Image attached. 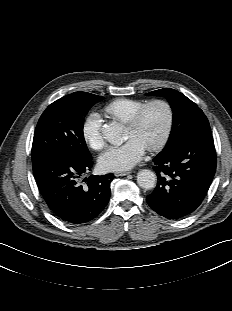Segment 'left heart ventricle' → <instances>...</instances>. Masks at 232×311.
Instances as JSON below:
<instances>
[{
	"label": "left heart ventricle",
	"mask_w": 232,
	"mask_h": 311,
	"mask_svg": "<svg viewBox=\"0 0 232 311\" xmlns=\"http://www.w3.org/2000/svg\"><path fill=\"white\" fill-rule=\"evenodd\" d=\"M167 121V109L162 105H155L147 111L136 128L125 130V138L126 140L137 139L148 148L161 138Z\"/></svg>",
	"instance_id": "b2bd125f"
}]
</instances>
